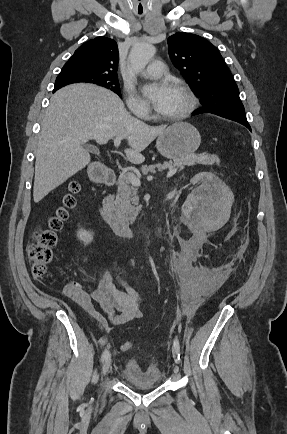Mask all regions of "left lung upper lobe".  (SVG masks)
I'll list each match as a JSON object with an SVG mask.
<instances>
[{"label":"left lung upper lobe","instance_id":"obj_1","mask_svg":"<svg viewBox=\"0 0 287 434\" xmlns=\"http://www.w3.org/2000/svg\"><path fill=\"white\" fill-rule=\"evenodd\" d=\"M168 46L173 64L202 99L204 109L245 110L232 74L214 45L181 32L168 38Z\"/></svg>","mask_w":287,"mask_h":434}]
</instances>
